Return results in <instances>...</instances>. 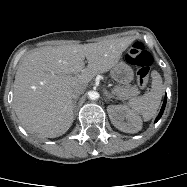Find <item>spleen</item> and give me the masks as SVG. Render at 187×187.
<instances>
[{"label": "spleen", "instance_id": "3e777b00", "mask_svg": "<svg viewBox=\"0 0 187 187\" xmlns=\"http://www.w3.org/2000/svg\"><path fill=\"white\" fill-rule=\"evenodd\" d=\"M153 80L151 90L143 96L136 97L129 101V108L134 113L140 114L145 121L155 116L159 109L163 96L162 78L157 72L152 73Z\"/></svg>", "mask_w": 187, "mask_h": 187}]
</instances>
